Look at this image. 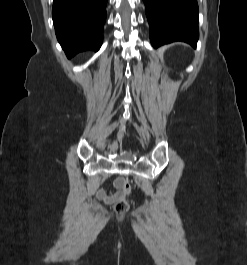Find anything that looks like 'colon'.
Masks as SVG:
<instances>
[{
	"instance_id": "colon-1",
	"label": "colon",
	"mask_w": 247,
	"mask_h": 265,
	"mask_svg": "<svg viewBox=\"0 0 247 265\" xmlns=\"http://www.w3.org/2000/svg\"><path fill=\"white\" fill-rule=\"evenodd\" d=\"M121 186L123 195L120 199L116 201L114 205V211L120 215L124 214L129 208V204L126 197L130 194L132 189L131 184L127 180H121Z\"/></svg>"
}]
</instances>
